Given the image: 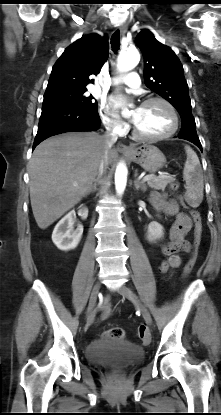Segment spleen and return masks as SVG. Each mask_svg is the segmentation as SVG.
<instances>
[{
  "instance_id": "3e777b00",
  "label": "spleen",
  "mask_w": 221,
  "mask_h": 415,
  "mask_svg": "<svg viewBox=\"0 0 221 415\" xmlns=\"http://www.w3.org/2000/svg\"><path fill=\"white\" fill-rule=\"evenodd\" d=\"M187 160L184 165L183 179L186 182L185 198L192 207H198L203 200V174L196 153L185 146Z\"/></svg>"
}]
</instances>
